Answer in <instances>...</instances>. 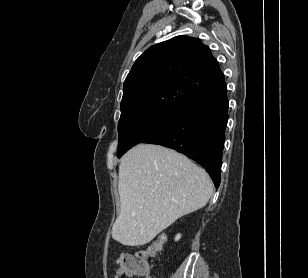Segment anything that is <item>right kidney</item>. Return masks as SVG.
<instances>
[{"mask_svg": "<svg viewBox=\"0 0 308 278\" xmlns=\"http://www.w3.org/2000/svg\"><path fill=\"white\" fill-rule=\"evenodd\" d=\"M180 238H181V235L178 234V235H176L175 240L178 241Z\"/></svg>", "mask_w": 308, "mask_h": 278, "instance_id": "right-kidney-1", "label": "right kidney"}]
</instances>
